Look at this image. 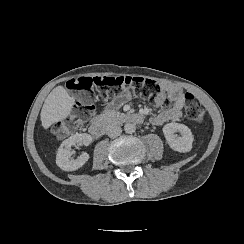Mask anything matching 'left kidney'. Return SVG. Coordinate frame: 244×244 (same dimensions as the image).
<instances>
[{
  "label": "left kidney",
  "mask_w": 244,
  "mask_h": 244,
  "mask_svg": "<svg viewBox=\"0 0 244 244\" xmlns=\"http://www.w3.org/2000/svg\"><path fill=\"white\" fill-rule=\"evenodd\" d=\"M162 131L173 151L187 153L192 150L194 137L191 130L184 124L167 123L163 126ZM175 133H179L181 138H178Z\"/></svg>",
  "instance_id": "obj_1"
}]
</instances>
